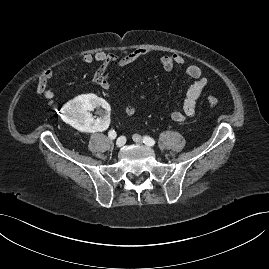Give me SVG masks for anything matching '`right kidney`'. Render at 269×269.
Returning <instances> with one entry per match:
<instances>
[{
	"mask_svg": "<svg viewBox=\"0 0 269 269\" xmlns=\"http://www.w3.org/2000/svg\"><path fill=\"white\" fill-rule=\"evenodd\" d=\"M107 108L108 104L96 95L87 94L65 104L61 117L79 131L102 133L110 126V120L107 117L94 120L90 111L95 110L99 114H105Z\"/></svg>",
	"mask_w": 269,
	"mask_h": 269,
	"instance_id": "right-kidney-1",
	"label": "right kidney"
}]
</instances>
